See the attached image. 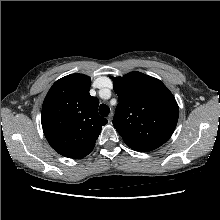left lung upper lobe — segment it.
Instances as JSON below:
<instances>
[{"instance_id": "5c2ea615", "label": "left lung upper lobe", "mask_w": 220, "mask_h": 220, "mask_svg": "<svg viewBox=\"0 0 220 220\" xmlns=\"http://www.w3.org/2000/svg\"><path fill=\"white\" fill-rule=\"evenodd\" d=\"M111 79L119 99L113 125L124 142L133 150L148 152L168 141L179 116L168 88L140 72Z\"/></svg>"}]
</instances>
